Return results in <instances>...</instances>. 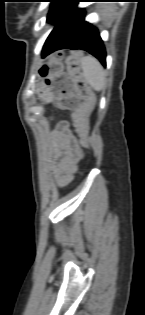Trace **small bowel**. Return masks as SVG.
<instances>
[{
  "label": "small bowel",
  "instance_id": "obj_1",
  "mask_svg": "<svg viewBox=\"0 0 145 315\" xmlns=\"http://www.w3.org/2000/svg\"><path fill=\"white\" fill-rule=\"evenodd\" d=\"M56 162L54 173L61 184L68 183L83 158L82 148L72 134L69 124L61 122L53 136Z\"/></svg>",
  "mask_w": 145,
  "mask_h": 315
}]
</instances>
